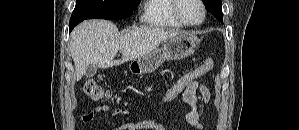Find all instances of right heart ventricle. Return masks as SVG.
<instances>
[{"mask_svg":"<svg viewBox=\"0 0 299 130\" xmlns=\"http://www.w3.org/2000/svg\"><path fill=\"white\" fill-rule=\"evenodd\" d=\"M143 20L153 27L181 29L182 25L173 12V0L146 1Z\"/></svg>","mask_w":299,"mask_h":130,"instance_id":"right-heart-ventricle-1","label":"right heart ventricle"}]
</instances>
